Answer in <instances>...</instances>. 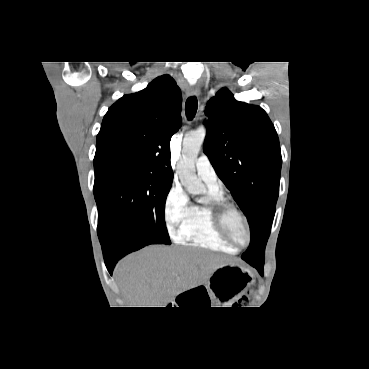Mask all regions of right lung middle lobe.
I'll list each match as a JSON object with an SVG mask.
<instances>
[{
	"mask_svg": "<svg viewBox=\"0 0 369 369\" xmlns=\"http://www.w3.org/2000/svg\"><path fill=\"white\" fill-rule=\"evenodd\" d=\"M94 170L100 243L114 233L126 232L147 244H171L164 215L171 180L129 168Z\"/></svg>",
	"mask_w": 369,
	"mask_h": 369,
	"instance_id": "obj_1",
	"label": "right lung middle lobe"
}]
</instances>
